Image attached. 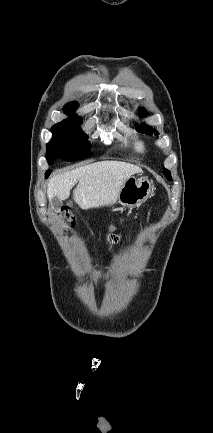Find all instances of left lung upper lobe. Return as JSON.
<instances>
[{
  "instance_id": "left-lung-upper-lobe-1",
  "label": "left lung upper lobe",
  "mask_w": 213,
  "mask_h": 433,
  "mask_svg": "<svg viewBox=\"0 0 213 433\" xmlns=\"http://www.w3.org/2000/svg\"><path fill=\"white\" fill-rule=\"evenodd\" d=\"M139 114H140V116H144V115H146V111H145V109L141 108ZM138 131H139V132H142V133L149 134V135L153 134V132H154L155 134H158V132H157L156 130H153V128H152L151 126H148V125H146V124H142V125H140V127H138ZM163 170H164V172H167V174H165V176L167 177L168 180L171 181V180H172V177H171V175H170V171H168V170L165 169V168H163Z\"/></svg>"
}]
</instances>
